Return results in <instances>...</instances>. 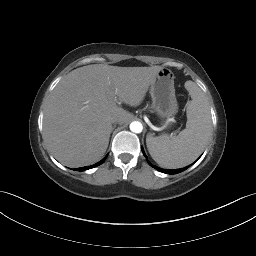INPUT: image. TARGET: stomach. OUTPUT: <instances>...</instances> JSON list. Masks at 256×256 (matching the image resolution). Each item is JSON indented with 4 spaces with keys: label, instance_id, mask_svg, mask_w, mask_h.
Returning a JSON list of instances; mask_svg holds the SVG:
<instances>
[{
    "label": "stomach",
    "instance_id": "0dacf381",
    "mask_svg": "<svg viewBox=\"0 0 256 256\" xmlns=\"http://www.w3.org/2000/svg\"><path fill=\"white\" fill-rule=\"evenodd\" d=\"M150 94L154 111L167 126V120L178 112L172 71L162 68L150 87Z\"/></svg>",
    "mask_w": 256,
    "mask_h": 256
}]
</instances>
